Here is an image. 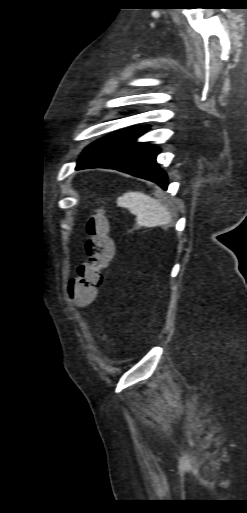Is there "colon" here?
<instances>
[{"label":"colon","instance_id":"5ec220e1","mask_svg":"<svg viewBox=\"0 0 247 513\" xmlns=\"http://www.w3.org/2000/svg\"><path fill=\"white\" fill-rule=\"evenodd\" d=\"M83 229L88 260L77 267L76 274L67 284L68 297L78 304H86L95 298L103 283V269L113 256L110 227L104 216H90Z\"/></svg>","mask_w":247,"mask_h":513}]
</instances>
